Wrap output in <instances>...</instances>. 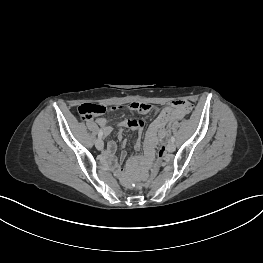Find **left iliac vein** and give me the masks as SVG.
Returning a JSON list of instances; mask_svg holds the SVG:
<instances>
[{"label":"left iliac vein","mask_w":263,"mask_h":263,"mask_svg":"<svg viewBox=\"0 0 263 263\" xmlns=\"http://www.w3.org/2000/svg\"><path fill=\"white\" fill-rule=\"evenodd\" d=\"M167 151L170 152V153L175 151V144L173 142H169L168 143Z\"/></svg>","instance_id":"1"}]
</instances>
